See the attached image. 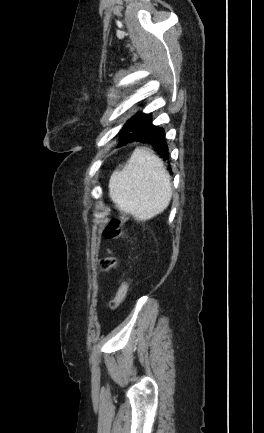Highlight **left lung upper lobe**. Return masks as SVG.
I'll return each mask as SVG.
<instances>
[{
  "mask_svg": "<svg viewBox=\"0 0 264 433\" xmlns=\"http://www.w3.org/2000/svg\"><path fill=\"white\" fill-rule=\"evenodd\" d=\"M130 135V132L128 131V129H126V127H123L121 130V134L119 137L120 141H124L127 139V137Z\"/></svg>",
  "mask_w": 264,
  "mask_h": 433,
  "instance_id": "5c2ea615",
  "label": "left lung upper lobe"
}]
</instances>
